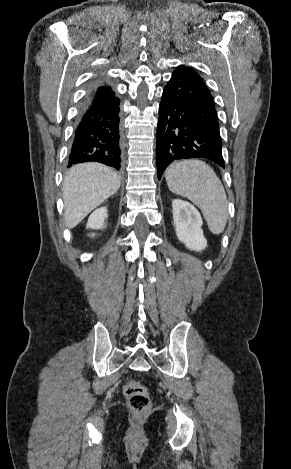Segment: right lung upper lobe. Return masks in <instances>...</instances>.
Listing matches in <instances>:
<instances>
[{
	"mask_svg": "<svg viewBox=\"0 0 291 469\" xmlns=\"http://www.w3.org/2000/svg\"><path fill=\"white\" fill-rule=\"evenodd\" d=\"M98 85H100V86H107V85H105V84H99V83H98Z\"/></svg>",
	"mask_w": 291,
	"mask_h": 469,
	"instance_id": "1",
	"label": "right lung upper lobe"
}]
</instances>
